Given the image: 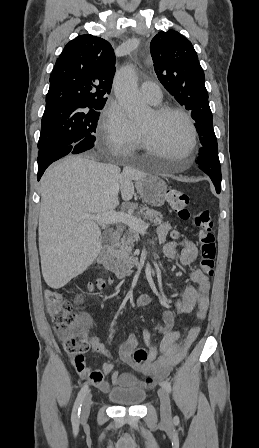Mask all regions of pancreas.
<instances>
[{
    "mask_svg": "<svg viewBox=\"0 0 259 448\" xmlns=\"http://www.w3.org/2000/svg\"><path fill=\"white\" fill-rule=\"evenodd\" d=\"M146 212L140 210L137 216H143L144 220H149L152 226H158L163 222V216L160 212H156V210H148L145 208ZM139 232L137 230H133V228H129L126 230L123 238H121L120 242V250H118V260H121L123 264H126V268H133L134 264H137V258H133L132 248H134V242H138Z\"/></svg>",
    "mask_w": 259,
    "mask_h": 448,
    "instance_id": "1",
    "label": "pancreas"
}]
</instances>
